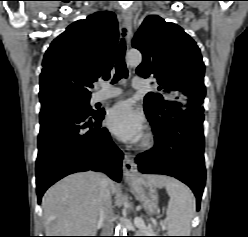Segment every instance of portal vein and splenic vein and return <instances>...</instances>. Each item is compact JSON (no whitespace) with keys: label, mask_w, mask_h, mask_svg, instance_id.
I'll list each match as a JSON object with an SVG mask.
<instances>
[{"label":"portal vein and splenic vein","mask_w":248,"mask_h":237,"mask_svg":"<svg viewBox=\"0 0 248 237\" xmlns=\"http://www.w3.org/2000/svg\"><path fill=\"white\" fill-rule=\"evenodd\" d=\"M134 224L137 227H145L144 221L141 218H135L134 219Z\"/></svg>","instance_id":"obj_1"}]
</instances>
